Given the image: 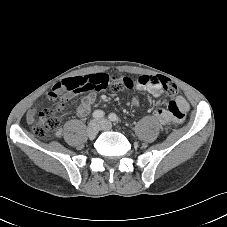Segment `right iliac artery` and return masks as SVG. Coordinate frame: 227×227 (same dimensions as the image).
<instances>
[{"mask_svg": "<svg viewBox=\"0 0 227 227\" xmlns=\"http://www.w3.org/2000/svg\"><path fill=\"white\" fill-rule=\"evenodd\" d=\"M104 115H105V113L101 110H95L92 114L93 118H95V119H101L104 117Z\"/></svg>", "mask_w": 227, "mask_h": 227, "instance_id": "right-iliac-artery-1", "label": "right iliac artery"}]
</instances>
